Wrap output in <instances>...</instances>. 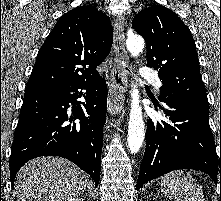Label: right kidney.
I'll return each instance as SVG.
<instances>
[{"label":"right kidney","mask_w":221,"mask_h":201,"mask_svg":"<svg viewBox=\"0 0 221 201\" xmlns=\"http://www.w3.org/2000/svg\"><path fill=\"white\" fill-rule=\"evenodd\" d=\"M66 201H84V199L80 197H73V198L67 199Z\"/></svg>","instance_id":"ca27d5eb"}]
</instances>
